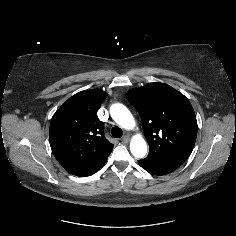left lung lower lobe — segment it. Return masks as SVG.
Segmentation results:
<instances>
[{
  "mask_svg": "<svg viewBox=\"0 0 236 236\" xmlns=\"http://www.w3.org/2000/svg\"><path fill=\"white\" fill-rule=\"evenodd\" d=\"M139 164L149 173L154 175H165L168 173L173 172L176 170L179 166L177 165H162V164H156L149 162L147 160H139Z\"/></svg>",
  "mask_w": 236,
  "mask_h": 236,
  "instance_id": "left-lung-lower-lobe-1",
  "label": "left lung lower lobe"
}]
</instances>
